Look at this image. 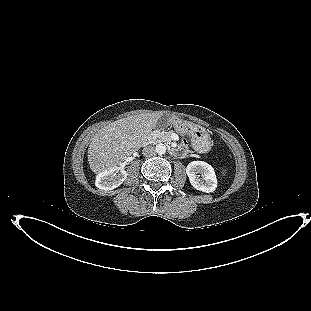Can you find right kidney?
I'll return each instance as SVG.
<instances>
[{"label":"right kidney","instance_id":"1","mask_svg":"<svg viewBox=\"0 0 311 311\" xmlns=\"http://www.w3.org/2000/svg\"><path fill=\"white\" fill-rule=\"evenodd\" d=\"M126 177L127 172L122 167H112L97 175L95 185L101 190H113L119 187Z\"/></svg>","mask_w":311,"mask_h":311}]
</instances>
